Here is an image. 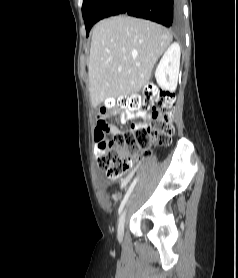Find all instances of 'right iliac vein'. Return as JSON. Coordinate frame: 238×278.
<instances>
[{"label":"right iliac vein","mask_w":238,"mask_h":278,"mask_svg":"<svg viewBox=\"0 0 238 278\" xmlns=\"http://www.w3.org/2000/svg\"><path fill=\"white\" fill-rule=\"evenodd\" d=\"M129 203L127 204L126 208L122 211L119 221H118V229H117V233H118V237L121 239L124 233V223H125V215H126V211H127V207H128Z\"/></svg>","instance_id":"obj_1"}]
</instances>
